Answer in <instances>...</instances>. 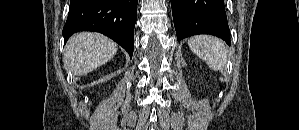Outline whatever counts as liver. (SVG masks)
Returning <instances> with one entry per match:
<instances>
[{
    "label": "liver",
    "instance_id": "1",
    "mask_svg": "<svg viewBox=\"0 0 299 130\" xmlns=\"http://www.w3.org/2000/svg\"><path fill=\"white\" fill-rule=\"evenodd\" d=\"M117 50V44L102 34L79 32L67 42L65 66L76 76L86 75L110 61Z\"/></svg>",
    "mask_w": 299,
    "mask_h": 130
}]
</instances>
